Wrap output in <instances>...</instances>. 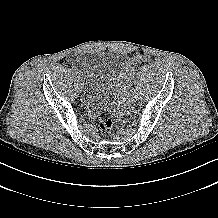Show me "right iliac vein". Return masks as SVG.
<instances>
[{"label": "right iliac vein", "instance_id": "right-iliac-vein-1", "mask_svg": "<svg viewBox=\"0 0 218 218\" xmlns=\"http://www.w3.org/2000/svg\"><path fill=\"white\" fill-rule=\"evenodd\" d=\"M79 78H80V76L78 75V82H79L78 85H79V87H81V86H82V83L80 82V79H79Z\"/></svg>", "mask_w": 218, "mask_h": 218}]
</instances>
